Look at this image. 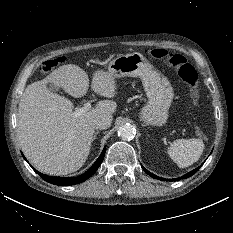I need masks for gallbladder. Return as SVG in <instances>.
Wrapping results in <instances>:
<instances>
[{
    "label": "gallbladder",
    "instance_id": "1",
    "mask_svg": "<svg viewBox=\"0 0 233 233\" xmlns=\"http://www.w3.org/2000/svg\"><path fill=\"white\" fill-rule=\"evenodd\" d=\"M49 90L53 93L60 92V87L55 84H49Z\"/></svg>",
    "mask_w": 233,
    "mask_h": 233
}]
</instances>
